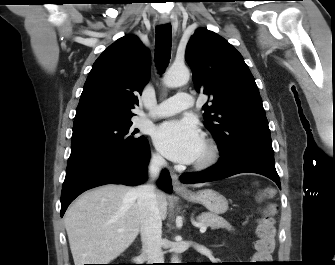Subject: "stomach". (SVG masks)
Instances as JSON below:
<instances>
[{
    "label": "stomach",
    "instance_id": "stomach-1",
    "mask_svg": "<svg viewBox=\"0 0 335 265\" xmlns=\"http://www.w3.org/2000/svg\"><path fill=\"white\" fill-rule=\"evenodd\" d=\"M187 201L199 203L205 206L213 214H223L228 210L227 199L212 189H204L198 192L180 193Z\"/></svg>",
    "mask_w": 335,
    "mask_h": 265
}]
</instances>
